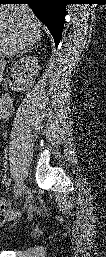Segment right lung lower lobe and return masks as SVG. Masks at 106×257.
Returning a JSON list of instances; mask_svg holds the SVG:
<instances>
[{"label":"right lung lower lobe","instance_id":"obj_1","mask_svg":"<svg viewBox=\"0 0 106 257\" xmlns=\"http://www.w3.org/2000/svg\"><path fill=\"white\" fill-rule=\"evenodd\" d=\"M0 4H28L51 32L58 46L64 25L67 0H0Z\"/></svg>","mask_w":106,"mask_h":257}]
</instances>
